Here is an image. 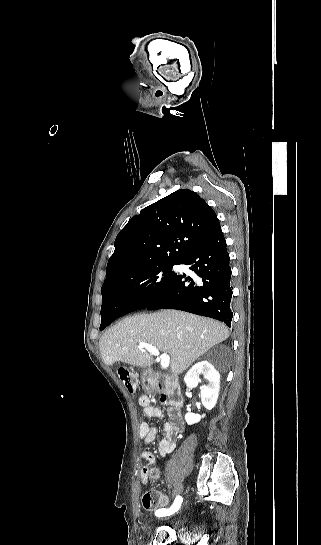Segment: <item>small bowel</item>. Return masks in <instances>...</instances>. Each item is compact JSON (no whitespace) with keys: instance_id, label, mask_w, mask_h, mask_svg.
I'll use <instances>...</instances> for the list:
<instances>
[{"instance_id":"c3829d8e","label":"small bowel","mask_w":321,"mask_h":545,"mask_svg":"<svg viewBox=\"0 0 321 545\" xmlns=\"http://www.w3.org/2000/svg\"><path fill=\"white\" fill-rule=\"evenodd\" d=\"M138 404L142 408L143 414L146 417L161 418L163 412L160 408L153 406L150 399L146 395H142L138 399ZM180 426L172 423H167L163 427V437L158 443V452L164 457L172 453L176 447V438L180 432ZM157 435V429L151 427L146 422H141L139 425V436L145 444L152 443ZM142 458L146 464L141 469V483L143 485L148 482L155 483L159 480L161 472L155 467L156 457L149 450L142 451ZM158 511V510H157Z\"/></svg>"}]
</instances>
